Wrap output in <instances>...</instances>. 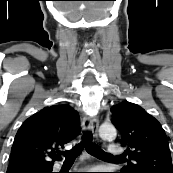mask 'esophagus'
Here are the masks:
<instances>
[{
    "label": "esophagus",
    "mask_w": 173,
    "mask_h": 173,
    "mask_svg": "<svg viewBox=\"0 0 173 173\" xmlns=\"http://www.w3.org/2000/svg\"><path fill=\"white\" fill-rule=\"evenodd\" d=\"M84 130H90L95 138L98 137L99 120L97 116L85 115L82 121Z\"/></svg>",
    "instance_id": "obj_1"
}]
</instances>
